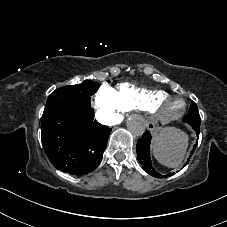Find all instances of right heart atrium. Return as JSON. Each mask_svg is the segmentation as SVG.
I'll use <instances>...</instances> for the list:
<instances>
[{
    "label": "right heart atrium",
    "instance_id": "d8ad5b80",
    "mask_svg": "<svg viewBox=\"0 0 227 227\" xmlns=\"http://www.w3.org/2000/svg\"><path fill=\"white\" fill-rule=\"evenodd\" d=\"M93 107L106 124L118 122L124 113L113 88L107 84H103L95 94Z\"/></svg>",
    "mask_w": 227,
    "mask_h": 227
}]
</instances>
